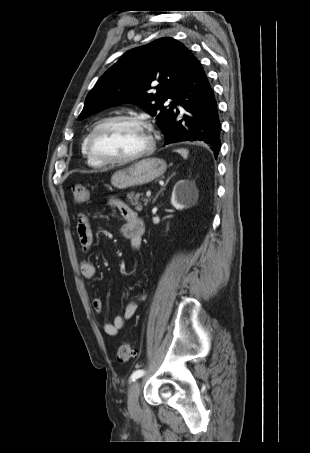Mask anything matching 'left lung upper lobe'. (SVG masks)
<instances>
[{
	"mask_svg": "<svg viewBox=\"0 0 310 453\" xmlns=\"http://www.w3.org/2000/svg\"><path fill=\"white\" fill-rule=\"evenodd\" d=\"M191 56L182 43L169 37L127 51L88 93L78 118H86L111 104L130 102L156 116L162 129L173 110V103L169 108L163 104L169 98L175 100ZM152 85H156V93L149 92Z\"/></svg>",
	"mask_w": 310,
	"mask_h": 453,
	"instance_id": "1",
	"label": "left lung upper lobe"
}]
</instances>
